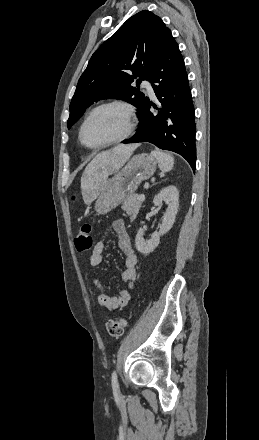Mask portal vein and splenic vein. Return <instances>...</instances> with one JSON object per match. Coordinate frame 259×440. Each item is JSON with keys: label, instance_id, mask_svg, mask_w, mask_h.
<instances>
[{"label": "portal vein and splenic vein", "instance_id": "portal-vein-and-splenic-vein-1", "mask_svg": "<svg viewBox=\"0 0 259 440\" xmlns=\"http://www.w3.org/2000/svg\"><path fill=\"white\" fill-rule=\"evenodd\" d=\"M138 200H140V201H144V200H145V195H144V194H140V195L138 196Z\"/></svg>", "mask_w": 259, "mask_h": 440}]
</instances>
